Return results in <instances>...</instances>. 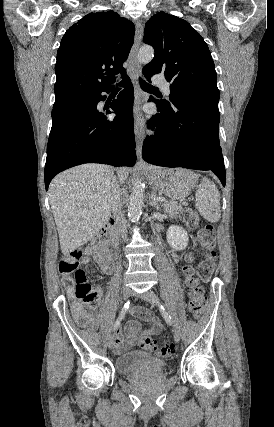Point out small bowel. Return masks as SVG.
<instances>
[{"mask_svg":"<svg viewBox=\"0 0 274 427\" xmlns=\"http://www.w3.org/2000/svg\"><path fill=\"white\" fill-rule=\"evenodd\" d=\"M208 252L212 257L219 255V250L202 251L201 253L205 256ZM172 258L175 262L180 260V257L177 254H173ZM193 259L194 257L192 253H187L185 255V260L187 262H192ZM91 260H94L97 263L103 274L109 275L112 273L114 269V260L102 241L93 243L84 249V254L81 260L82 265H88ZM197 266L199 268L196 272L198 278L212 277L213 272L211 269L213 268V263L211 261H201ZM72 314L75 320L81 322L86 328H94L98 325L99 315L95 311V308L88 303L80 301L73 302ZM141 319L146 322H150L152 326L148 329L142 330L138 320L128 321L125 325L124 333L118 331L114 336L113 347L117 354H123L133 348L137 344L139 335L140 337L157 336L161 333L163 324L158 317L149 313L147 317H143Z\"/></svg>","mask_w":274,"mask_h":427,"instance_id":"c3829d8e","label":"small bowel"}]
</instances>
